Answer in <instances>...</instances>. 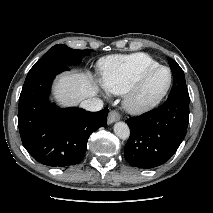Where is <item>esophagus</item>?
<instances>
[{
	"label": "esophagus",
	"instance_id": "1",
	"mask_svg": "<svg viewBox=\"0 0 213 213\" xmlns=\"http://www.w3.org/2000/svg\"><path fill=\"white\" fill-rule=\"evenodd\" d=\"M120 119V115L116 111H110L108 114V123L112 124Z\"/></svg>",
	"mask_w": 213,
	"mask_h": 213
}]
</instances>
